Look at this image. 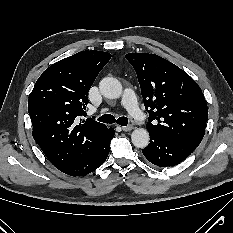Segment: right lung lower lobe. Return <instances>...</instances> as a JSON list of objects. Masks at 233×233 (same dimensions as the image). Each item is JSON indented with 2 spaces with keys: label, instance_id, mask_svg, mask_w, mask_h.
<instances>
[{
  "label": "right lung lower lobe",
  "instance_id": "obj_1",
  "mask_svg": "<svg viewBox=\"0 0 233 233\" xmlns=\"http://www.w3.org/2000/svg\"><path fill=\"white\" fill-rule=\"evenodd\" d=\"M114 135L115 132L111 129L109 135L94 152L60 171L71 176H83L93 172L105 162L110 151V141Z\"/></svg>",
  "mask_w": 233,
  "mask_h": 233
}]
</instances>
